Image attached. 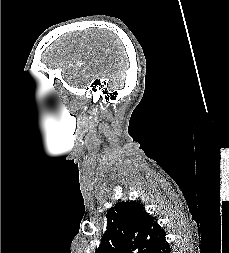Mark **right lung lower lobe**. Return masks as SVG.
Segmentation results:
<instances>
[{"instance_id": "obj_1", "label": "right lung lower lobe", "mask_w": 229, "mask_h": 253, "mask_svg": "<svg viewBox=\"0 0 229 253\" xmlns=\"http://www.w3.org/2000/svg\"><path fill=\"white\" fill-rule=\"evenodd\" d=\"M170 252L171 248L165 239L152 251V253H170Z\"/></svg>"}]
</instances>
